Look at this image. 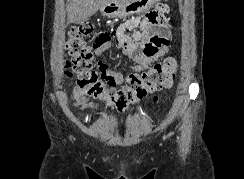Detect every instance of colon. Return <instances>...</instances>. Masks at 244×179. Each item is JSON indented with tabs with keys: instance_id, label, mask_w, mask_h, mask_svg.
<instances>
[{
	"instance_id": "5ec220e1",
	"label": "colon",
	"mask_w": 244,
	"mask_h": 179,
	"mask_svg": "<svg viewBox=\"0 0 244 179\" xmlns=\"http://www.w3.org/2000/svg\"><path fill=\"white\" fill-rule=\"evenodd\" d=\"M92 31L93 26L88 23L70 28L65 47L70 57L65 61V73L75 77L77 85L88 96L105 101L122 113L147 94L171 87L178 70L177 61L173 58H166L139 74L130 75L121 88L106 86L104 76L96 70L91 47L85 41ZM153 101L157 103L159 98L155 96Z\"/></svg>"
}]
</instances>
